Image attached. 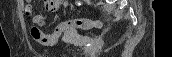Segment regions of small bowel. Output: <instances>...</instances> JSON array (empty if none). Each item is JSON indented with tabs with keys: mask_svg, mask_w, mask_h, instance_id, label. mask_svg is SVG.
Masks as SVG:
<instances>
[{
	"mask_svg": "<svg viewBox=\"0 0 172 57\" xmlns=\"http://www.w3.org/2000/svg\"><path fill=\"white\" fill-rule=\"evenodd\" d=\"M65 5V1L61 0H50L45 1V7L47 10L55 11L61 9ZM29 8L31 11V14L28 15L25 11V16L27 18H33L34 26L31 28V35L32 37L38 41L39 43L45 45V46H54L60 37L61 33L54 32L53 34H44L40 26L44 25L46 22L47 17L42 14L34 15L33 9L30 5L26 7V9ZM25 9V10H26ZM40 34V36L37 38V36Z\"/></svg>",
	"mask_w": 172,
	"mask_h": 57,
	"instance_id": "c3829d8e",
	"label": "small bowel"
}]
</instances>
